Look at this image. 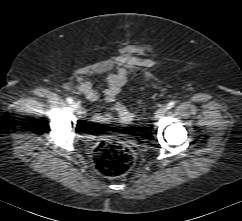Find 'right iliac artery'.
<instances>
[{"mask_svg":"<svg viewBox=\"0 0 242 221\" xmlns=\"http://www.w3.org/2000/svg\"><path fill=\"white\" fill-rule=\"evenodd\" d=\"M66 102L68 104H72L73 103V99L71 97H68V98H66Z\"/></svg>","mask_w":242,"mask_h":221,"instance_id":"right-iliac-artery-1","label":"right iliac artery"}]
</instances>
